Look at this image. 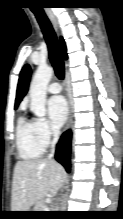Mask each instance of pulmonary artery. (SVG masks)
I'll use <instances>...</instances> for the list:
<instances>
[{"mask_svg": "<svg viewBox=\"0 0 123 219\" xmlns=\"http://www.w3.org/2000/svg\"><path fill=\"white\" fill-rule=\"evenodd\" d=\"M47 91H48L49 93H52V94L59 93V92L61 91V86H60L59 83L53 82V83H51V84L48 85Z\"/></svg>", "mask_w": 123, "mask_h": 219, "instance_id": "e3ab8cb5", "label": "pulmonary artery"}]
</instances>
